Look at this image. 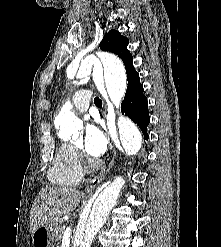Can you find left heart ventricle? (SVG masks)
<instances>
[{"mask_svg": "<svg viewBox=\"0 0 221 247\" xmlns=\"http://www.w3.org/2000/svg\"><path fill=\"white\" fill-rule=\"evenodd\" d=\"M76 145H77V146H80V145H81V141H78V142L76 143Z\"/></svg>", "mask_w": 221, "mask_h": 247, "instance_id": "obj_1", "label": "left heart ventricle"}]
</instances>
